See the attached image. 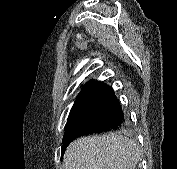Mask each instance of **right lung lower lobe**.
<instances>
[{
	"label": "right lung lower lobe",
	"mask_w": 177,
	"mask_h": 169,
	"mask_svg": "<svg viewBox=\"0 0 177 169\" xmlns=\"http://www.w3.org/2000/svg\"><path fill=\"white\" fill-rule=\"evenodd\" d=\"M89 102L66 124L62 140V152L77 137L120 128L125 118L114 91L102 82H89L86 85Z\"/></svg>",
	"instance_id": "right-lung-lower-lobe-1"
}]
</instances>
